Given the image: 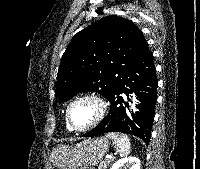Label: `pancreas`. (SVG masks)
<instances>
[{"label":"pancreas","mask_w":200,"mask_h":169,"mask_svg":"<svg viewBox=\"0 0 200 169\" xmlns=\"http://www.w3.org/2000/svg\"><path fill=\"white\" fill-rule=\"evenodd\" d=\"M110 160H104L98 165V169H107L110 164Z\"/></svg>","instance_id":"cf45deb5"}]
</instances>
